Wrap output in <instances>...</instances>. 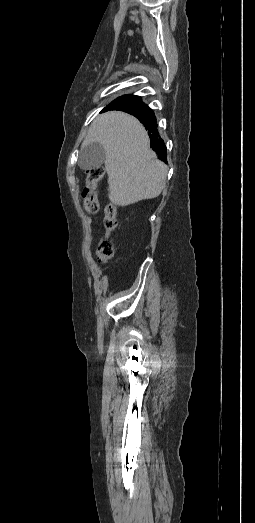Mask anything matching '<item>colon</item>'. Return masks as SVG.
Listing matches in <instances>:
<instances>
[{
	"label": "colon",
	"instance_id": "colon-1",
	"mask_svg": "<svg viewBox=\"0 0 255 523\" xmlns=\"http://www.w3.org/2000/svg\"><path fill=\"white\" fill-rule=\"evenodd\" d=\"M103 167H93L86 171V186L83 190V207L88 214L99 211L98 185L103 179ZM104 235L96 247V258L101 263H107L114 258L115 249L111 240L112 232L118 227L117 208L107 204L103 212Z\"/></svg>",
	"mask_w": 255,
	"mask_h": 523
}]
</instances>
